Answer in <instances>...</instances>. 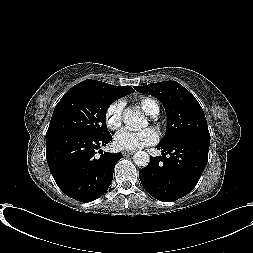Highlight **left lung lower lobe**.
I'll use <instances>...</instances> for the list:
<instances>
[{
	"instance_id": "1",
	"label": "left lung lower lobe",
	"mask_w": 253,
	"mask_h": 253,
	"mask_svg": "<svg viewBox=\"0 0 253 253\" xmlns=\"http://www.w3.org/2000/svg\"><path fill=\"white\" fill-rule=\"evenodd\" d=\"M210 139L183 136L158 144L162 156L151 157L139 171L144 189L154 198L170 202L187 195L198 183L208 160Z\"/></svg>"
}]
</instances>
